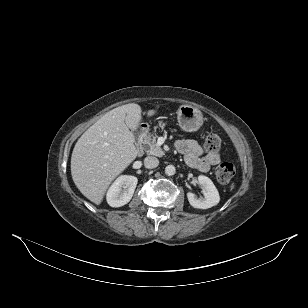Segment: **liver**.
I'll return each instance as SVG.
<instances>
[{"instance_id":"1","label":"liver","mask_w":308,"mask_h":308,"mask_svg":"<svg viewBox=\"0 0 308 308\" xmlns=\"http://www.w3.org/2000/svg\"><path fill=\"white\" fill-rule=\"evenodd\" d=\"M156 114L149 110L147 115ZM142 120L136 103L107 112L78 139L71 156V175L79 191L99 205L112 181L137 157L134 135Z\"/></svg>"}]
</instances>
